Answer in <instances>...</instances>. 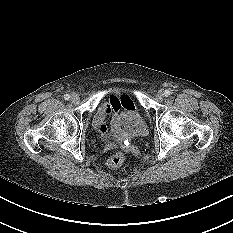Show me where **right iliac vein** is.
I'll return each instance as SVG.
<instances>
[{
	"label": "right iliac vein",
	"instance_id": "obj_1",
	"mask_svg": "<svg viewBox=\"0 0 233 233\" xmlns=\"http://www.w3.org/2000/svg\"><path fill=\"white\" fill-rule=\"evenodd\" d=\"M71 101L73 102V103H77V102H79V100H80V97H79V95L77 94V93H72V95H71Z\"/></svg>",
	"mask_w": 233,
	"mask_h": 233
}]
</instances>
